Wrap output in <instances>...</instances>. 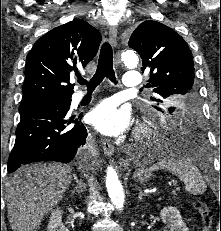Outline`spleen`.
I'll use <instances>...</instances> for the list:
<instances>
[{"mask_svg":"<svg viewBox=\"0 0 221 231\" xmlns=\"http://www.w3.org/2000/svg\"><path fill=\"white\" fill-rule=\"evenodd\" d=\"M167 170L185 183L187 192L200 195L206 191V182L195 162L189 158H162L150 167L151 171Z\"/></svg>","mask_w":221,"mask_h":231,"instance_id":"obj_1","label":"spleen"}]
</instances>
